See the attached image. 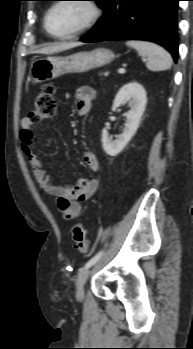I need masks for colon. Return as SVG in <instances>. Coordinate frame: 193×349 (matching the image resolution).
<instances>
[{"label":"colon","mask_w":193,"mask_h":349,"mask_svg":"<svg viewBox=\"0 0 193 349\" xmlns=\"http://www.w3.org/2000/svg\"><path fill=\"white\" fill-rule=\"evenodd\" d=\"M56 100L55 89L52 85H45L36 96L32 110L30 111L29 118L33 122H41L44 120H50L56 113ZM72 237L76 249L80 253H87L88 251V238L87 231L81 223H76L72 228Z\"/></svg>","instance_id":"1"}]
</instances>
